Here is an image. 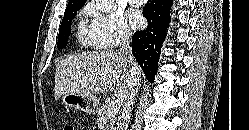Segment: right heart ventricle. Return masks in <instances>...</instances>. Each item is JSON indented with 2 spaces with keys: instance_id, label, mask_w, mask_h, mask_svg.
I'll list each match as a JSON object with an SVG mask.
<instances>
[{
  "instance_id": "obj_1",
  "label": "right heart ventricle",
  "mask_w": 249,
  "mask_h": 130,
  "mask_svg": "<svg viewBox=\"0 0 249 130\" xmlns=\"http://www.w3.org/2000/svg\"><path fill=\"white\" fill-rule=\"evenodd\" d=\"M76 36H77V40L82 45H85V46L95 45L90 29H88L83 23L79 24Z\"/></svg>"
}]
</instances>
